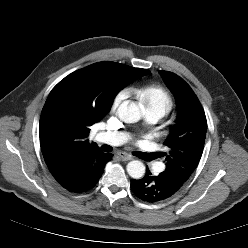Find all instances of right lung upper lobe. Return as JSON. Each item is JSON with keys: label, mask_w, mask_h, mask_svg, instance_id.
<instances>
[{"label": "right lung upper lobe", "mask_w": 248, "mask_h": 248, "mask_svg": "<svg viewBox=\"0 0 248 248\" xmlns=\"http://www.w3.org/2000/svg\"><path fill=\"white\" fill-rule=\"evenodd\" d=\"M122 64L99 62L61 80L43 107L39 136L42 154L56 180L82 155L99 150L87 139L90 126L102 120L115 95L127 84L118 77Z\"/></svg>", "instance_id": "cb5924a9"}]
</instances>
